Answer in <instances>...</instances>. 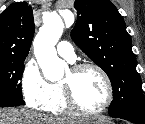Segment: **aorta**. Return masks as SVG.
Returning a JSON list of instances; mask_svg holds the SVG:
<instances>
[{
    "label": "aorta",
    "instance_id": "obj_1",
    "mask_svg": "<svg viewBox=\"0 0 145 124\" xmlns=\"http://www.w3.org/2000/svg\"><path fill=\"white\" fill-rule=\"evenodd\" d=\"M64 24L58 14L50 13L44 17V24L36 35L33 46L34 54L43 75L50 81H57L64 76L67 64L57 56L55 49L63 33Z\"/></svg>",
    "mask_w": 145,
    "mask_h": 124
}]
</instances>
